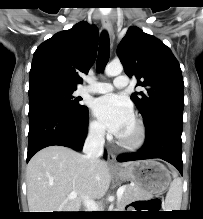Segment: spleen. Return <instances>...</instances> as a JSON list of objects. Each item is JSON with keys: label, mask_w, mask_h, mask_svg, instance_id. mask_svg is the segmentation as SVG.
<instances>
[{"label": "spleen", "mask_w": 203, "mask_h": 219, "mask_svg": "<svg viewBox=\"0 0 203 219\" xmlns=\"http://www.w3.org/2000/svg\"><path fill=\"white\" fill-rule=\"evenodd\" d=\"M174 180L172 181L165 199L166 211L180 210L182 201V182L177 173L173 172Z\"/></svg>", "instance_id": "spleen-1"}]
</instances>
